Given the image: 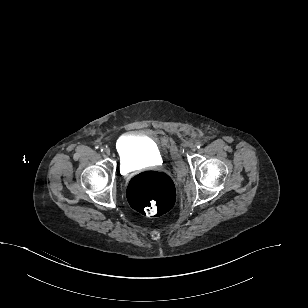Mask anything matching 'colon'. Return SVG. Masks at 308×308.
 I'll return each mask as SVG.
<instances>
[{
	"label": "colon",
	"mask_w": 308,
	"mask_h": 308,
	"mask_svg": "<svg viewBox=\"0 0 308 308\" xmlns=\"http://www.w3.org/2000/svg\"><path fill=\"white\" fill-rule=\"evenodd\" d=\"M127 196L132 207L140 213L161 216L173 208L176 191L173 181L167 174L147 171L130 180Z\"/></svg>",
	"instance_id": "colon-1"
}]
</instances>
